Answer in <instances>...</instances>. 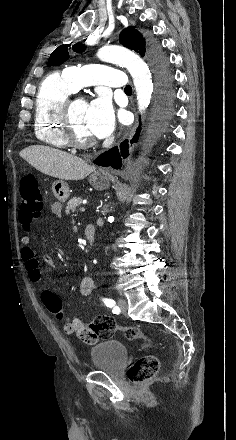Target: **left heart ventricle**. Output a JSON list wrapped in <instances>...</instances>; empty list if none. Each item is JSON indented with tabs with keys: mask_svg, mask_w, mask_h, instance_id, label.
Masks as SVG:
<instances>
[{
	"mask_svg": "<svg viewBox=\"0 0 236 440\" xmlns=\"http://www.w3.org/2000/svg\"><path fill=\"white\" fill-rule=\"evenodd\" d=\"M87 102L83 99L77 100L72 108V120L76 134L81 139L92 138L93 135L86 122Z\"/></svg>",
	"mask_w": 236,
	"mask_h": 440,
	"instance_id": "obj_1",
	"label": "left heart ventricle"
}]
</instances>
